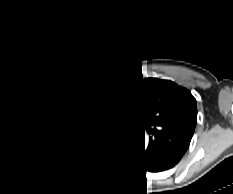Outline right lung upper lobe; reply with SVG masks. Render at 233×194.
Here are the masks:
<instances>
[{
    "label": "right lung upper lobe",
    "mask_w": 233,
    "mask_h": 194,
    "mask_svg": "<svg viewBox=\"0 0 233 194\" xmlns=\"http://www.w3.org/2000/svg\"><path fill=\"white\" fill-rule=\"evenodd\" d=\"M49 128L57 152L73 163L93 160L101 149L88 118V97L84 93H67L51 106Z\"/></svg>",
    "instance_id": "1"
}]
</instances>
